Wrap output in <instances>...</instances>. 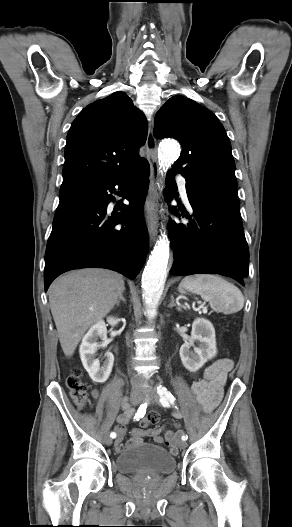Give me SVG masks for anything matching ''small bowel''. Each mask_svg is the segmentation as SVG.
Instances as JSON below:
<instances>
[{"mask_svg":"<svg viewBox=\"0 0 292 527\" xmlns=\"http://www.w3.org/2000/svg\"><path fill=\"white\" fill-rule=\"evenodd\" d=\"M231 368L232 361L230 359H222L206 369L204 379L196 381L192 384L191 390L195 394L198 403L205 412H211L219 404L223 395V387L227 378V374ZM93 396L97 397L98 392L93 391ZM123 410V413L118 417L120 426L116 428L118 439L115 441L114 447L117 452H121L127 447L141 444L143 438L147 436L152 437L156 443H162L164 440H166L167 444L171 447L172 453L177 454L178 436L173 431L162 432V427L148 430L136 428L132 431L131 439L126 445H124L122 443V438L125 434L124 426L129 422L133 414V410L128 406L126 401L123 402ZM176 416H179V414L176 413Z\"/></svg>","mask_w":292,"mask_h":527,"instance_id":"obj_1","label":"small bowel"}]
</instances>
